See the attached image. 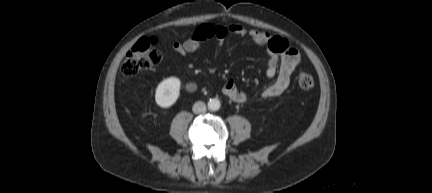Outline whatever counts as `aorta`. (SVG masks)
<instances>
[{"instance_id": "obj_1", "label": "aorta", "mask_w": 432, "mask_h": 193, "mask_svg": "<svg viewBox=\"0 0 432 193\" xmlns=\"http://www.w3.org/2000/svg\"><path fill=\"white\" fill-rule=\"evenodd\" d=\"M221 107V103L218 99L213 98L208 101V108L211 111H217Z\"/></svg>"}]
</instances>
